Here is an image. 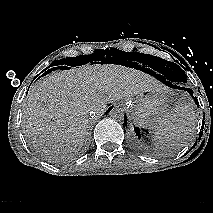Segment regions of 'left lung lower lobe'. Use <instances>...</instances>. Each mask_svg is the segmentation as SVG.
<instances>
[{
    "mask_svg": "<svg viewBox=\"0 0 213 213\" xmlns=\"http://www.w3.org/2000/svg\"><path fill=\"white\" fill-rule=\"evenodd\" d=\"M160 73H154V71H152V74L159 79L160 81H162L163 83H165L167 86L172 87V88H177V89H182V90H186L189 92V94L193 97L195 103L198 105L197 99L193 96V91L190 88H185V87H181L178 86V84L174 83L169 76L165 75L164 73H162L161 71H159ZM124 125H127V118L125 115L124 118ZM123 125V126H124Z\"/></svg>",
    "mask_w": 213,
    "mask_h": 213,
    "instance_id": "1",
    "label": "left lung lower lobe"
}]
</instances>
